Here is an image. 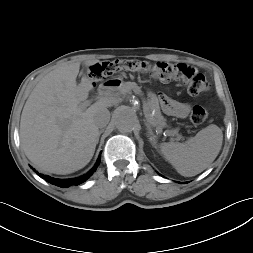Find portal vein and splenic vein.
<instances>
[{
  "label": "portal vein and splenic vein",
  "mask_w": 253,
  "mask_h": 253,
  "mask_svg": "<svg viewBox=\"0 0 253 253\" xmlns=\"http://www.w3.org/2000/svg\"><path fill=\"white\" fill-rule=\"evenodd\" d=\"M90 103L91 102L89 100H87V101L83 102L80 106H81L82 109H85L86 107H88L90 105ZM143 111H144V114H145L146 118L148 119V121L151 124L156 125L154 117L150 114L149 107H148L147 103H145V102L143 104ZM158 129H160V128H158Z\"/></svg>",
  "instance_id": "1"
}]
</instances>
